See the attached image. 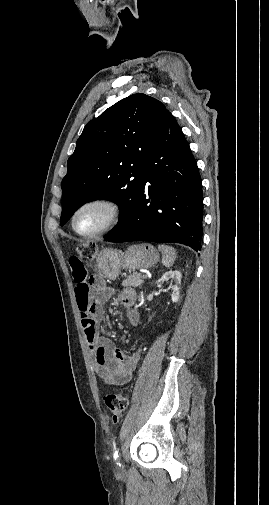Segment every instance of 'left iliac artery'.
<instances>
[{
  "mask_svg": "<svg viewBox=\"0 0 269 505\" xmlns=\"http://www.w3.org/2000/svg\"><path fill=\"white\" fill-rule=\"evenodd\" d=\"M119 455H120L119 449H116V450H115V452H114V454H113V457H114V460H115V461H116V460H118ZM119 465H120V464H119Z\"/></svg>",
  "mask_w": 269,
  "mask_h": 505,
  "instance_id": "obj_1",
  "label": "left iliac artery"
}]
</instances>
